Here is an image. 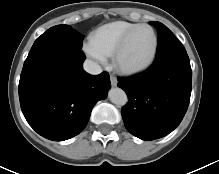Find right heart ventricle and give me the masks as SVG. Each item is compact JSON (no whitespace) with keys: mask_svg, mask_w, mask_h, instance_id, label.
I'll use <instances>...</instances> for the list:
<instances>
[{"mask_svg":"<svg viewBox=\"0 0 219 174\" xmlns=\"http://www.w3.org/2000/svg\"><path fill=\"white\" fill-rule=\"evenodd\" d=\"M137 25L123 20L103 24L91 34L90 43L106 57H111L125 34Z\"/></svg>","mask_w":219,"mask_h":174,"instance_id":"right-heart-ventricle-1","label":"right heart ventricle"}]
</instances>
